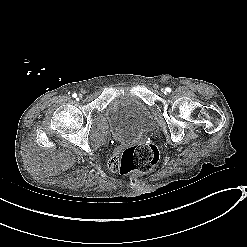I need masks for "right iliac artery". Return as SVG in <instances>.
<instances>
[{
  "label": "right iliac artery",
  "mask_w": 247,
  "mask_h": 247,
  "mask_svg": "<svg viewBox=\"0 0 247 247\" xmlns=\"http://www.w3.org/2000/svg\"><path fill=\"white\" fill-rule=\"evenodd\" d=\"M72 96H73L74 98H76V97H77V94H76V93H74Z\"/></svg>",
  "instance_id": "obj_1"
}]
</instances>
